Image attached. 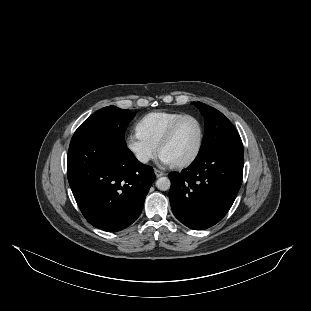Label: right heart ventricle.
<instances>
[{
	"label": "right heart ventricle",
	"instance_id": "obj_1",
	"mask_svg": "<svg viewBox=\"0 0 311 311\" xmlns=\"http://www.w3.org/2000/svg\"><path fill=\"white\" fill-rule=\"evenodd\" d=\"M184 113L154 111L141 117L135 124L137 135L153 148H157L163 136Z\"/></svg>",
	"mask_w": 311,
	"mask_h": 311
}]
</instances>
